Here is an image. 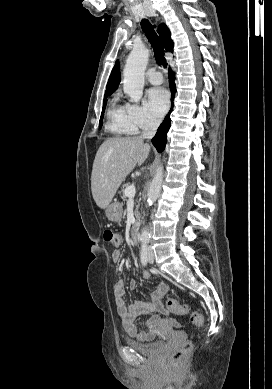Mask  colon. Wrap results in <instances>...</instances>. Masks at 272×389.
<instances>
[{"label": "colon", "instance_id": "obj_1", "mask_svg": "<svg viewBox=\"0 0 272 389\" xmlns=\"http://www.w3.org/2000/svg\"><path fill=\"white\" fill-rule=\"evenodd\" d=\"M104 239L115 247H119L121 244L120 235L116 232H113L112 230H105ZM165 312L177 315H184L188 312V307L187 305L180 303L174 298H169L166 301ZM190 321L194 326L201 327L204 323V317L201 313L194 312L190 317ZM191 351L192 343L188 341L184 342L179 348H177L170 354L169 360L171 364L174 366H180L187 360Z\"/></svg>", "mask_w": 272, "mask_h": 389}]
</instances>
